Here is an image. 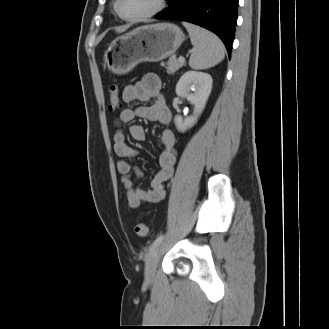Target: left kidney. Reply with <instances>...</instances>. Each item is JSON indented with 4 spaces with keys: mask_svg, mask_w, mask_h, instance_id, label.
<instances>
[{
    "mask_svg": "<svg viewBox=\"0 0 329 329\" xmlns=\"http://www.w3.org/2000/svg\"><path fill=\"white\" fill-rule=\"evenodd\" d=\"M211 89L212 77L207 73L187 71L181 76L176 85V94L194 104V113L184 120L181 116H175L174 122L180 132H185L197 122L205 108Z\"/></svg>",
    "mask_w": 329,
    "mask_h": 329,
    "instance_id": "1",
    "label": "left kidney"
}]
</instances>
